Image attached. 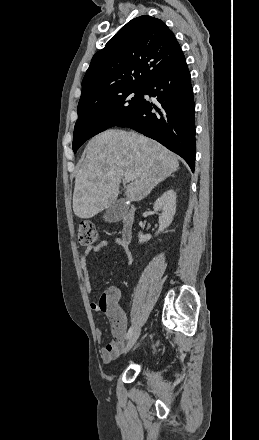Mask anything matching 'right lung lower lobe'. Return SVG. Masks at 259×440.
Masks as SVG:
<instances>
[{"label":"right lung lower lobe","mask_w":259,"mask_h":440,"mask_svg":"<svg viewBox=\"0 0 259 440\" xmlns=\"http://www.w3.org/2000/svg\"><path fill=\"white\" fill-rule=\"evenodd\" d=\"M145 94L156 97L158 107L143 99L139 108L118 127H129L180 155L194 171L195 121L193 88L182 54L158 73ZM155 109L157 113L152 112Z\"/></svg>","instance_id":"obj_1"}]
</instances>
